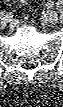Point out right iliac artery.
I'll list each match as a JSON object with an SVG mask.
<instances>
[{"instance_id": "82829eb1", "label": "right iliac artery", "mask_w": 63, "mask_h": 107, "mask_svg": "<svg viewBox=\"0 0 63 107\" xmlns=\"http://www.w3.org/2000/svg\"><path fill=\"white\" fill-rule=\"evenodd\" d=\"M1 18L6 19L7 21H12L13 15L11 13H7L6 15L1 13Z\"/></svg>"}]
</instances>
